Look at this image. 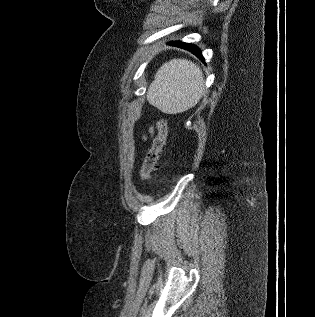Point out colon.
I'll return each instance as SVG.
<instances>
[{
	"label": "colon",
	"mask_w": 315,
	"mask_h": 317,
	"mask_svg": "<svg viewBox=\"0 0 315 317\" xmlns=\"http://www.w3.org/2000/svg\"><path fill=\"white\" fill-rule=\"evenodd\" d=\"M167 134L168 122L165 118H161L158 122L157 135L154 138L152 146L149 149L140 169V178L142 181L146 182L151 179L152 173L157 167L158 159L165 145Z\"/></svg>",
	"instance_id": "colon-1"
}]
</instances>
